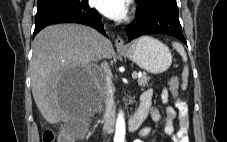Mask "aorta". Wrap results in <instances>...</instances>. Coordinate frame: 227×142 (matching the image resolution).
I'll list each match as a JSON object with an SVG mask.
<instances>
[{"mask_svg": "<svg viewBox=\"0 0 227 142\" xmlns=\"http://www.w3.org/2000/svg\"><path fill=\"white\" fill-rule=\"evenodd\" d=\"M126 133L125 119L122 111L119 112L116 120L114 142H124Z\"/></svg>", "mask_w": 227, "mask_h": 142, "instance_id": "obj_1", "label": "aorta"}]
</instances>
